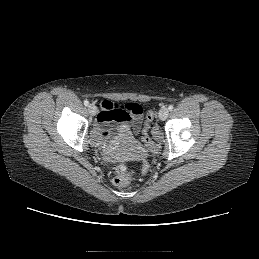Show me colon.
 I'll list each match as a JSON object with an SVG mask.
<instances>
[{
	"label": "colon",
	"instance_id": "5ec220e1",
	"mask_svg": "<svg viewBox=\"0 0 259 259\" xmlns=\"http://www.w3.org/2000/svg\"><path fill=\"white\" fill-rule=\"evenodd\" d=\"M154 118H155L154 112L148 111L145 116L143 127H142V141L149 150H152L154 147L153 141L149 135V130ZM145 168H146V163L143 164V170H145ZM115 170H116V177L114 179L115 185L119 187H124L133 180V177H134L133 171H131L125 163H119L116 166Z\"/></svg>",
	"mask_w": 259,
	"mask_h": 259
}]
</instances>
